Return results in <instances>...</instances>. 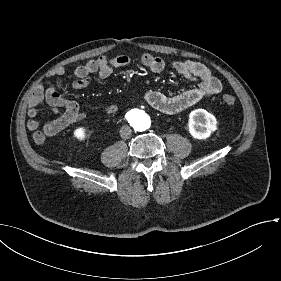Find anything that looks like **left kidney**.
<instances>
[{"label": "left kidney", "mask_w": 281, "mask_h": 281, "mask_svg": "<svg viewBox=\"0 0 281 281\" xmlns=\"http://www.w3.org/2000/svg\"><path fill=\"white\" fill-rule=\"evenodd\" d=\"M216 124L215 116L204 109H196L189 114V132L196 139L208 138L217 129Z\"/></svg>", "instance_id": "1"}]
</instances>
